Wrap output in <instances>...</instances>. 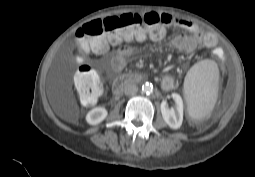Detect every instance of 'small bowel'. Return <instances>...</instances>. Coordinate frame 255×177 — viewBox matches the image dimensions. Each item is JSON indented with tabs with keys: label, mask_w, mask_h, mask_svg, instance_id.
I'll list each match as a JSON object with an SVG mask.
<instances>
[{
	"label": "small bowel",
	"mask_w": 255,
	"mask_h": 177,
	"mask_svg": "<svg viewBox=\"0 0 255 177\" xmlns=\"http://www.w3.org/2000/svg\"><path fill=\"white\" fill-rule=\"evenodd\" d=\"M163 18L165 19L167 26H175L190 33V35H178L172 39L171 46L176 50L182 52H192L200 46L214 47L217 43L214 35L210 33H204L201 26L192 20L175 17L170 14H163ZM164 34L165 30L163 34L156 39H161ZM144 38L145 36L140 38L139 41L143 40ZM131 53V47L126 44L117 48L111 60V67L114 72H120L125 68ZM161 86L164 90L173 89V78L170 76H165L161 81Z\"/></svg>",
	"instance_id": "small-bowel-1"
}]
</instances>
